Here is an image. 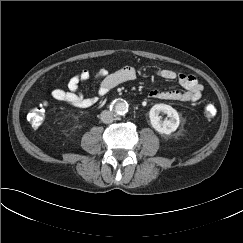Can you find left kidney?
<instances>
[{"instance_id": "obj_1", "label": "left kidney", "mask_w": 243, "mask_h": 243, "mask_svg": "<svg viewBox=\"0 0 243 243\" xmlns=\"http://www.w3.org/2000/svg\"><path fill=\"white\" fill-rule=\"evenodd\" d=\"M163 112L167 114L169 119L161 120L159 114ZM149 118L152 127L161 134L169 135L176 131L180 124V118L178 112L169 105L156 104L149 111Z\"/></svg>"}]
</instances>
